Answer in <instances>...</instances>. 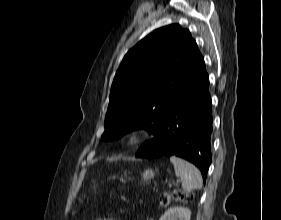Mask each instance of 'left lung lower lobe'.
Listing matches in <instances>:
<instances>
[{
	"label": "left lung lower lobe",
	"mask_w": 281,
	"mask_h": 220,
	"mask_svg": "<svg viewBox=\"0 0 281 220\" xmlns=\"http://www.w3.org/2000/svg\"><path fill=\"white\" fill-rule=\"evenodd\" d=\"M212 113L209 76L204 60L181 85L155 138L139 148L136 157L175 155L195 164L205 181L211 164Z\"/></svg>",
	"instance_id": "0a47b994"
}]
</instances>
